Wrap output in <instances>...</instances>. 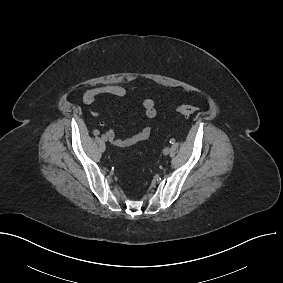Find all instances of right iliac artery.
<instances>
[{
  "label": "right iliac artery",
  "mask_w": 283,
  "mask_h": 283,
  "mask_svg": "<svg viewBox=\"0 0 283 283\" xmlns=\"http://www.w3.org/2000/svg\"><path fill=\"white\" fill-rule=\"evenodd\" d=\"M99 134V131L98 130H95L94 132H93V135L94 136H97Z\"/></svg>",
  "instance_id": "1"
}]
</instances>
